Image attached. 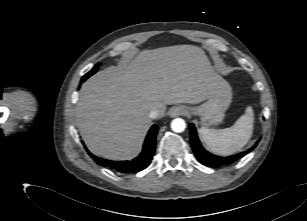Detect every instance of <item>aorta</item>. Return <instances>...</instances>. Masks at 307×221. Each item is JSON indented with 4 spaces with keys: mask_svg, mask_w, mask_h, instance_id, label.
<instances>
[{
    "mask_svg": "<svg viewBox=\"0 0 307 221\" xmlns=\"http://www.w3.org/2000/svg\"><path fill=\"white\" fill-rule=\"evenodd\" d=\"M186 128V123L181 118H176L171 122V129L174 132L180 133L183 132Z\"/></svg>",
    "mask_w": 307,
    "mask_h": 221,
    "instance_id": "762f6f07",
    "label": "aorta"
}]
</instances>
